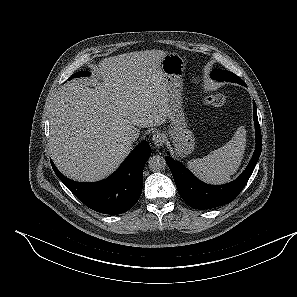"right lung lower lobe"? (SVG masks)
Segmentation results:
<instances>
[{"label": "right lung lower lobe", "mask_w": 297, "mask_h": 297, "mask_svg": "<svg viewBox=\"0 0 297 297\" xmlns=\"http://www.w3.org/2000/svg\"><path fill=\"white\" fill-rule=\"evenodd\" d=\"M151 154L147 141L141 142L110 177L96 183L75 182L51 165L58 178L87 207L104 214L127 212L138 201L143 187L142 174Z\"/></svg>", "instance_id": "right-lung-lower-lobe-1"}]
</instances>
